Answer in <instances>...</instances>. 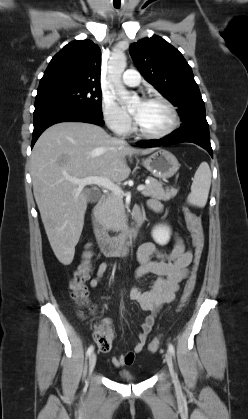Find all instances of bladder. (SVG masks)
Returning <instances> with one entry per match:
<instances>
[{
  "label": "bladder",
  "mask_w": 248,
  "mask_h": 419,
  "mask_svg": "<svg viewBox=\"0 0 248 419\" xmlns=\"http://www.w3.org/2000/svg\"><path fill=\"white\" fill-rule=\"evenodd\" d=\"M117 377L122 381H128V382H132L136 380V376L128 371L118 372Z\"/></svg>",
  "instance_id": "1"
}]
</instances>
